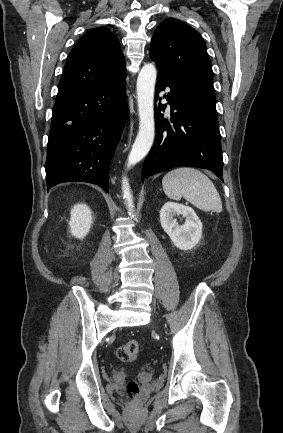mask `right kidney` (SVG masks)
<instances>
[{
    "instance_id": "obj_1",
    "label": "right kidney",
    "mask_w": 283,
    "mask_h": 433,
    "mask_svg": "<svg viewBox=\"0 0 283 433\" xmlns=\"http://www.w3.org/2000/svg\"><path fill=\"white\" fill-rule=\"evenodd\" d=\"M92 224V213L86 204H76L71 209L69 226L72 235L76 238H84Z\"/></svg>"
}]
</instances>
